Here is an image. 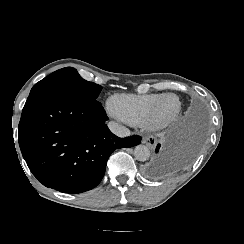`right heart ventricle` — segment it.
I'll use <instances>...</instances> for the list:
<instances>
[{
    "mask_svg": "<svg viewBox=\"0 0 244 244\" xmlns=\"http://www.w3.org/2000/svg\"><path fill=\"white\" fill-rule=\"evenodd\" d=\"M157 97V95H117L112 100L113 113L126 123L144 125L153 116Z\"/></svg>",
    "mask_w": 244,
    "mask_h": 244,
    "instance_id": "e07e8e85",
    "label": "right heart ventricle"
}]
</instances>
